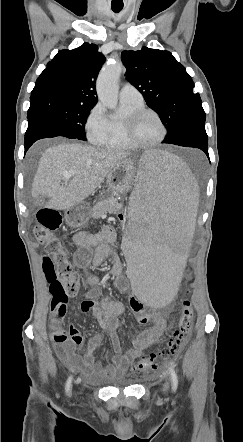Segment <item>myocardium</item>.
Masks as SVG:
<instances>
[{
    "label": "myocardium",
    "instance_id": "obj_1",
    "mask_svg": "<svg viewBox=\"0 0 243 442\" xmlns=\"http://www.w3.org/2000/svg\"><path fill=\"white\" fill-rule=\"evenodd\" d=\"M146 114H152L156 117L158 122L160 123L162 133L158 140H156L153 143L144 144L136 141L134 137V131L137 122L141 117H143ZM167 126L165 124V121L163 120L162 116L154 109L143 107L141 109H138L134 111L133 113L129 114L125 121H124V135L127 143L133 147V148H139V149H151L159 146L166 138L167 136Z\"/></svg>",
    "mask_w": 243,
    "mask_h": 442
}]
</instances>
